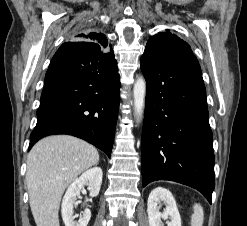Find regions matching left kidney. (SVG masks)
I'll return each mask as SVG.
<instances>
[{
    "instance_id": "5707ae66",
    "label": "left kidney",
    "mask_w": 247,
    "mask_h": 226,
    "mask_svg": "<svg viewBox=\"0 0 247 226\" xmlns=\"http://www.w3.org/2000/svg\"><path fill=\"white\" fill-rule=\"evenodd\" d=\"M161 202L165 203L166 208L160 212ZM147 213L150 226H163L162 220H167V226H181V217L172 193L163 188L157 187L151 191L148 197Z\"/></svg>"
}]
</instances>
